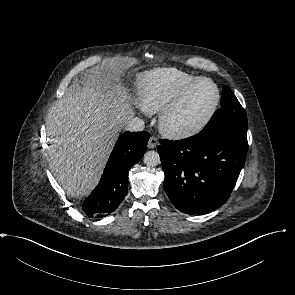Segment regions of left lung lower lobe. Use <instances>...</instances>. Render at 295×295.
Returning <instances> with one entry per match:
<instances>
[{
	"mask_svg": "<svg viewBox=\"0 0 295 295\" xmlns=\"http://www.w3.org/2000/svg\"><path fill=\"white\" fill-rule=\"evenodd\" d=\"M247 137L215 130L182 141L160 140L164 190L186 214H206L229 198L246 160Z\"/></svg>",
	"mask_w": 295,
	"mask_h": 295,
	"instance_id": "1",
	"label": "left lung lower lobe"
}]
</instances>
